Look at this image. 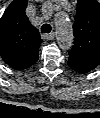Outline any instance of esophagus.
<instances>
[{"instance_id": "esophagus-1", "label": "esophagus", "mask_w": 100, "mask_h": 118, "mask_svg": "<svg viewBox=\"0 0 100 118\" xmlns=\"http://www.w3.org/2000/svg\"><path fill=\"white\" fill-rule=\"evenodd\" d=\"M42 38L46 39V40H53L55 38V33L52 32V33H49V34H43Z\"/></svg>"}]
</instances>
